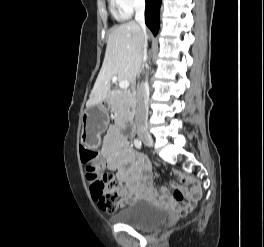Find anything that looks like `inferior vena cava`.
I'll return each mask as SVG.
<instances>
[{"instance_id": "1", "label": "inferior vena cava", "mask_w": 264, "mask_h": 247, "mask_svg": "<svg viewBox=\"0 0 264 247\" xmlns=\"http://www.w3.org/2000/svg\"><path fill=\"white\" fill-rule=\"evenodd\" d=\"M135 20L141 27L143 34L146 36L145 25V0H138L135 5ZM142 60L147 59V40L145 39L142 46ZM148 100H149V85L147 82L140 83L136 89V112L135 123L137 127H140L147 122L148 117Z\"/></svg>"}]
</instances>
